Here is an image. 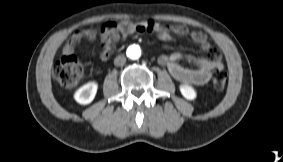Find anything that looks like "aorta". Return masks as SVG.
I'll use <instances>...</instances> for the list:
<instances>
[{
	"label": "aorta",
	"mask_w": 283,
	"mask_h": 162,
	"mask_svg": "<svg viewBox=\"0 0 283 162\" xmlns=\"http://www.w3.org/2000/svg\"><path fill=\"white\" fill-rule=\"evenodd\" d=\"M140 55H141V50L136 45H132L127 49V56L130 59H133V60L138 59Z\"/></svg>",
	"instance_id": "1"
}]
</instances>
